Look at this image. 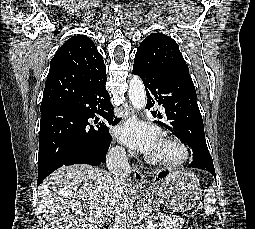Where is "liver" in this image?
I'll use <instances>...</instances> for the list:
<instances>
[{
  "mask_svg": "<svg viewBox=\"0 0 255 229\" xmlns=\"http://www.w3.org/2000/svg\"><path fill=\"white\" fill-rule=\"evenodd\" d=\"M114 177L87 164L64 166L38 188V202L51 229H99L114 215L117 202ZM125 194L131 203L137 189L129 180Z\"/></svg>",
  "mask_w": 255,
  "mask_h": 229,
  "instance_id": "obj_1",
  "label": "liver"
}]
</instances>
